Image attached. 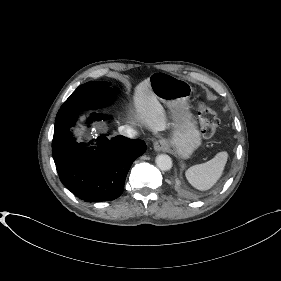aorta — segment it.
Returning <instances> with one entry per match:
<instances>
[{"mask_svg":"<svg viewBox=\"0 0 281 281\" xmlns=\"http://www.w3.org/2000/svg\"><path fill=\"white\" fill-rule=\"evenodd\" d=\"M157 167L162 171H168L172 168V160L166 154H160L155 159Z\"/></svg>","mask_w":281,"mask_h":281,"instance_id":"obj_1","label":"aorta"}]
</instances>
